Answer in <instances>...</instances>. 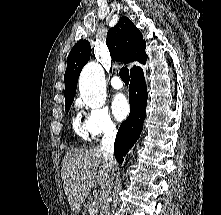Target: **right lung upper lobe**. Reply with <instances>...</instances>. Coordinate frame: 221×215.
I'll return each mask as SVG.
<instances>
[{
    "label": "right lung upper lobe",
    "instance_id": "cb5924a9",
    "mask_svg": "<svg viewBox=\"0 0 221 215\" xmlns=\"http://www.w3.org/2000/svg\"><path fill=\"white\" fill-rule=\"evenodd\" d=\"M106 45L112 59L115 61L125 63L139 61L145 64L147 59L145 40L142 38V33L126 16L121 17L118 23L108 31ZM90 53V43L86 40L77 42L70 51L64 75L65 101L74 100L80 72L90 59ZM137 68L139 67L133 66L130 69V73Z\"/></svg>",
    "mask_w": 221,
    "mask_h": 215
}]
</instances>
